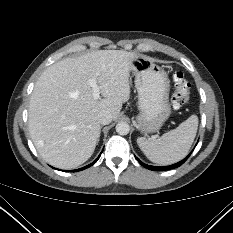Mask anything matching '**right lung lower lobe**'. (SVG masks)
<instances>
[{"mask_svg":"<svg viewBox=\"0 0 233 233\" xmlns=\"http://www.w3.org/2000/svg\"><path fill=\"white\" fill-rule=\"evenodd\" d=\"M100 155H101V154H100ZM100 155H99L98 158H97L94 162H92L91 164H89V165H87V166H85V167H83V168H80V169L71 170V172H76V171L84 170V169H86V168L92 166V165L95 164V163L97 162V160L100 158Z\"/></svg>","mask_w":233,"mask_h":233,"instance_id":"1","label":"right lung lower lobe"}]
</instances>
